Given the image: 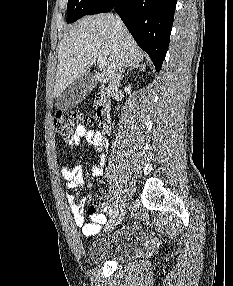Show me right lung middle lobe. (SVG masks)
<instances>
[{"mask_svg": "<svg viewBox=\"0 0 233 286\" xmlns=\"http://www.w3.org/2000/svg\"><path fill=\"white\" fill-rule=\"evenodd\" d=\"M100 0H68L67 23H73L88 13L98 4Z\"/></svg>", "mask_w": 233, "mask_h": 286, "instance_id": "dd1d6c3e", "label": "right lung middle lobe"}]
</instances>
